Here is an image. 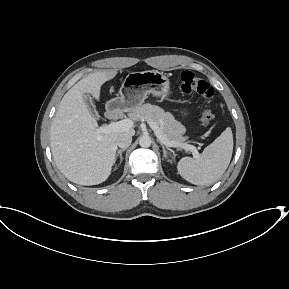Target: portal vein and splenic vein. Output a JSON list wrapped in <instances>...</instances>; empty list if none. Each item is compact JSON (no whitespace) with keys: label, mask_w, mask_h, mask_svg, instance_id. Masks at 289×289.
<instances>
[{"label":"portal vein and splenic vein","mask_w":289,"mask_h":289,"mask_svg":"<svg viewBox=\"0 0 289 289\" xmlns=\"http://www.w3.org/2000/svg\"><path fill=\"white\" fill-rule=\"evenodd\" d=\"M148 124L154 130L157 138L159 140H161L167 146H170V147H177L178 146V147H181L187 151H191L195 158L200 156L197 149L192 145L168 141L166 139V137L163 135V133H162V131H161V129L157 123H155L153 121H149ZM133 125H134V122L132 120L123 119V120H120L118 122H110L107 125L99 127L98 130L102 134H109V133L116 132V131H127V130L131 129L133 127Z\"/></svg>","instance_id":"18ae733b"}]
</instances>
